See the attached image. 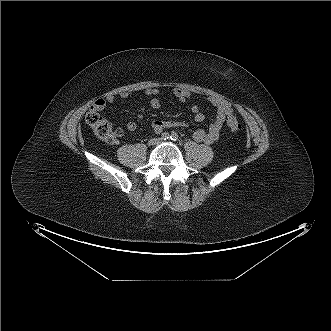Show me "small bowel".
I'll use <instances>...</instances> for the list:
<instances>
[{
    "label": "small bowel",
    "mask_w": 331,
    "mask_h": 331,
    "mask_svg": "<svg viewBox=\"0 0 331 331\" xmlns=\"http://www.w3.org/2000/svg\"><path fill=\"white\" fill-rule=\"evenodd\" d=\"M159 90L156 88H149L145 91V95L149 98L150 106L154 109H158L161 105L160 100L158 98ZM172 94L178 98L182 103H186L187 100L190 98L191 93L183 88H175L172 91ZM132 95V92L130 91H123L119 93V97L121 99H126ZM116 96L115 95H108L106 98H100L97 99L93 106L91 107L92 110L95 111H101L105 108L107 103L114 102ZM207 102L211 104L212 106L216 107L217 113L216 117L210 122L209 128L207 131L203 129L196 130L193 133V139L196 142H203L205 144L211 145L214 144L220 135V131L225 123V120L228 116L233 114V108L231 103L219 96H208L206 98ZM191 112L194 114V120L196 122H202L205 119L204 114L200 111L199 106L193 105L191 107ZM187 127L188 122L187 121H162V120H154L151 124V127L153 131L157 134L161 133L164 128L166 127ZM138 125L135 121H129L126 124V128L129 131H135L137 129ZM121 131V130H120Z\"/></svg>",
    "instance_id": "c3829d8e"
}]
</instances>
